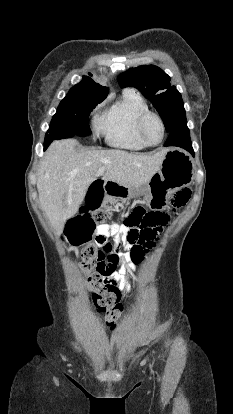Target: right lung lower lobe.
Wrapping results in <instances>:
<instances>
[{
	"mask_svg": "<svg viewBox=\"0 0 233 414\" xmlns=\"http://www.w3.org/2000/svg\"><path fill=\"white\" fill-rule=\"evenodd\" d=\"M48 132L49 134H47L45 137L44 149H46L54 139H58L60 137V135H58L60 131L58 130H53L50 128Z\"/></svg>",
	"mask_w": 233,
	"mask_h": 414,
	"instance_id": "right-lung-lower-lobe-1",
	"label": "right lung lower lobe"
}]
</instances>
